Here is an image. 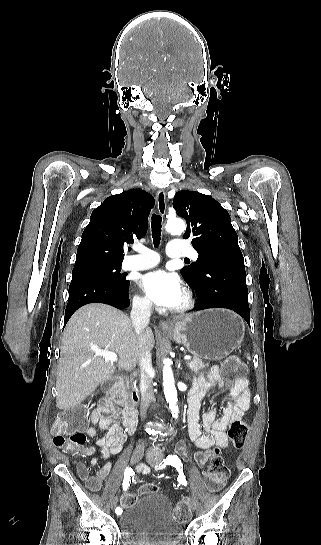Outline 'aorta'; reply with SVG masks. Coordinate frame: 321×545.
Segmentation results:
<instances>
[{"label": "aorta", "instance_id": "1", "mask_svg": "<svg viewBox=\"0 0 321 545\" xmlns=\"http://www.w3.org/2000/svg\"><path fill=\"white\" fill-rule=\"evenodd\" d=\"M165 229L171 234H182L186 229V225L181 219H170L167 221ZM170 364L171 361L168 359L164 360L163 387L166 401L169 403L173 417L176 418L179 413L177 406L178 399L174 376Z\"/></svg>", "mask_w": 321, "mask_h": 545}]
</instances>
